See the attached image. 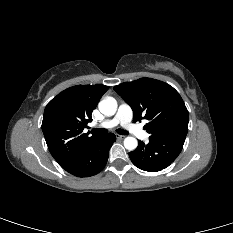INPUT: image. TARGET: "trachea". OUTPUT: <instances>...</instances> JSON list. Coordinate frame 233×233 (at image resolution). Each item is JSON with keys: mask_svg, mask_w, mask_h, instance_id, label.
<instances>
[{"mask_svg": "<svg viewBox=\"0 0 233 233\" xmlns=\"http://www.w3.org/2000/svg\"><path fill=\"white\" fill-rule=\"evenodd\" d=\"M116 131L120 135H127L128 134V132L126 130H123V129H117ZM107 132H108L107 129H93L92 130V133L97 134V135H103V134H106Z\"/></svg>", "mask_w": 233, "mask_h": 233, "instance_id": "trachea-1", "label": "trachea"}]
</instances>
